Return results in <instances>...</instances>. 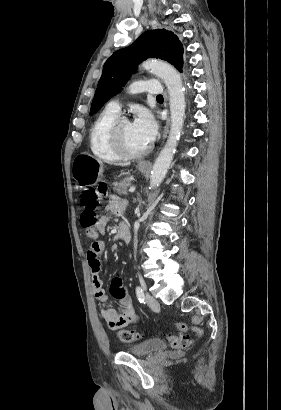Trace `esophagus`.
I'll return each mask as SVG.
<instances>
[{"instance_id":"obj_1","label":"esophagus","mask_w":281,"mask_h":410,"mask_svg":"<svg viewBox=\"0 0 281 410\" xmlns=\"http://www.w3.org/2000/svg\"><path fill=\"white\" fill-rule=\"evenodd\" d=\"M169 122H170V118L168 117L167 118V120H166V124H165V126H164V130H163V140L166 138V136H167V133H168V128H169ZM139 166H142V167H150L151 166V162L149 161V160H144V161H141L140 163H139Z\"/></svg>"}]
</instances>
